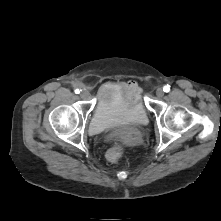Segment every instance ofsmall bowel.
I'll return each instance as SVG.
<instances>
[{
    "mask_svg": "<svg viewBox=\"0 0 221 221\" xmlns=\"http://www.w3.org/2000/svg\"><path fill=\"white\" fill-rule=\"evenodd\" d=\"M111 87H117L129 99H131L134 94H138V92H139V88H138L137 84L133 81L122 82L118 85L117 84H108L104 88H111Z\"/></svg>",
    "mask_w": 221,
    "mask_h": 221,
    "instance_id": "obj_1",
    "label": "small bowel"
}]
</instances>
